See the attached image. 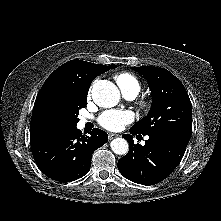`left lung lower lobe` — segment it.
Returning <instances> with one entry per match:
<instances>
[{"label":"left lung lower lobe","instance_id":"1","mask_svg":"<svg viewBox=\"0 0 221 221\" xmlns=\"http://www.w3.org/2000/svg\"><path fill=\"white\" fill-rule=\"evenodd\" d=\"M130 133H137L130 130ZM129 142V152L118 161L120 173L128 180L149 186L165 179L180 163L187 144L161 135H149L145 145L134 144L133 137L122 136Z\"/></svg>","mask_w":221,"mask_h":221}]
</instances>
